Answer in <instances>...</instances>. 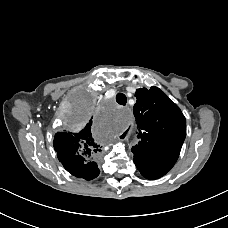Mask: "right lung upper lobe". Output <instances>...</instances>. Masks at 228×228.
I'll list each match as a JSON object with an SVG mask.
<instances>
[{
    "instance_id": "obj_1",
    "label": "right lung upper lobe",
    "mask_w": 228,
    "mask_h": 228,
    "mask_svg": "<svg viewBox=\"0 0 228 228\" xmlns=\"http://www.w3.org/2000/svg\"><path fill=\"white\" fill-rule=\"evenodd\" d=\"M92 118L80 130L58 132L54 137V149L59 161L74 167L78 177L91 180L96 177L97 164L92 161L101 151L91 131Z\"/></svg>"
}]
</instances>
